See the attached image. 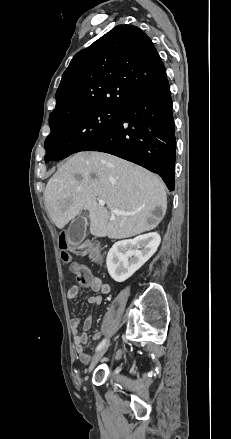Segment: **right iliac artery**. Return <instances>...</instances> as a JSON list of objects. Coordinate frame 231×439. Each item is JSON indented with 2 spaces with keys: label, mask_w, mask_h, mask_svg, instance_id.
Returning <instances> with one entry per match:
<instances>
[{
  "label": "right iliac artery",
  "mask_w": 231,
  "mask_h": 439,
  "mask_svg": "<svg viewBox=\"0 0 231 439\" xmlns=\"http://www.w3.org/2000/svg\"><path fill=\"white\" fill-rule=\"evenodd\" d=\"M106 343V339H103L96 348V351L100 350Z\"/></svg>",
  "instance_id": "1"
}]
</instances>
